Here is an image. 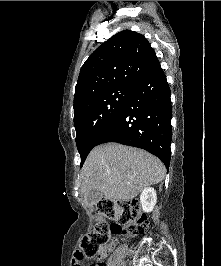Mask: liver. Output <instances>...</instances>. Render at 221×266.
Listing matches in <instances>:
<instances>
[{
    "mask_svg": "<svg viewBox=\"0 0 221 266\" xmlns=\"http://www.w3.org/2000/svg\"><path fill=\"white\" fill-rule=\"evenodd\" d=\"M165 173L164 164L150 153L108 143L89 153L81 172V193L86 196L98 188L108 200L127 201L143 188L161 182Z\"/></svg>",
    "mask_w": 221,
    "mask_h": 266,
    "instance_id": "1",
    "label": "liver"
}]
</instances>
